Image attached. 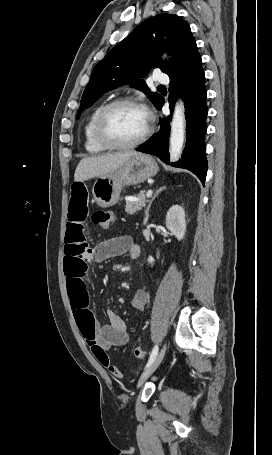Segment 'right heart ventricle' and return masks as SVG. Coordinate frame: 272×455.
<instances>
[{
	"mask_svg": "<svg viewBox=\"0 0 272 455\" xmlns=\"http://www.w3.org/2000/svg\"><path fill=\"white\" fill-rule=\"evenodd\" d=\"M102 107L103 105L97 106L90 113L84 126V147L85 150L91 154H99L107 150L105 147L97 143L93 135V122Z\"/></svg>",
	"mask_w": 272,
	"mask_h": 455,
	"instance_id": "obj_1",
	"label": "right heart ventricle"
}]
</instances>
